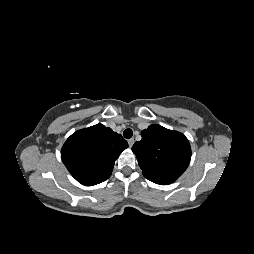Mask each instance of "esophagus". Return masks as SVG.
Returning <instances> with one entry per match:
<instances>
[{"label": "esophagus", "instance_id": "obj_1", "mask_svg": "<svg viewBox=\"0 0 254 254\" xmlns=\"http://www.w3.org/2000/svg\"><path fill=\"white\" fill-rule=\"evenodd\" d=\"M134 142H135L134 138L129 139L128 140L129 147H132Z\"/></svg>", "mask_w": 254, "mask_h": 254}]
</instances>
